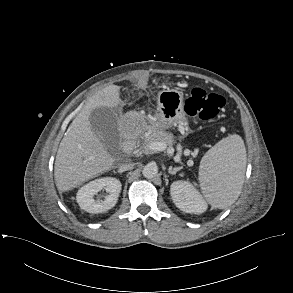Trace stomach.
Segmentation results:
<instances>
[{"label":"stomach","mask_w":293,"mask_h":293,"mask_svg":"<svg viewBox=\"0 0 293 293\" xmlns=\"http://www.w3.org/2000/svg\"><path fill=\"white\" fill-rule=\"evenodd\" d=\"M183 96V91L178 88L160 91L156 98L157 111L153 123L163 129L170 128L177 123L187 125Z\"/></svg>","instance_id":"obj_1"}]
</instances>
